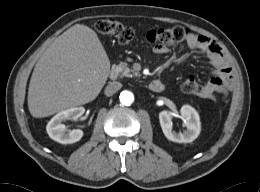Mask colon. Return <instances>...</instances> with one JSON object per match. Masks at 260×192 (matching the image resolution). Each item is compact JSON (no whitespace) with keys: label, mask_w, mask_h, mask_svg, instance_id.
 <instances>
[{"label":"colon","mask_w":260,"mask_h":192,"mask_svg":"<svg viewBox=\"0 0 260 192\" xmlns=\"http://www.w3.org/2000/svg\"><path fill=\"white\" fill-rule=\"evenodd\" d=\"M96 29L99 33L114 37L121 44H128L135 39L134 30L114 19H101L96 23ZM191 32L181 26L172 28H159L149 31L145 36V41L153 46H171L178 45L188 39ZM201 85L192 75H188L182 85L184 92L197 94Z\"/></svg>","instance_id":"1"}]
</instances>
